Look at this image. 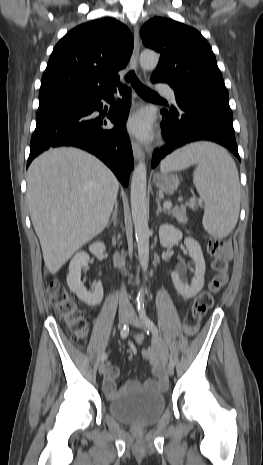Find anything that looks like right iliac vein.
<instances>
[{
    "label": "right iliac vein",
    "mask_w": 263,
    "mask_h": 465,
    "mask_svg": "<svg viewBox=\"0 0 263 465\" xmlns=\"http://www.w3.org/2000/svg\"><path fill=\"white\" fill-rule=\"evenodd\" d=\"M128 315H129V312H128V310H126V309L121 310V311L119 312V315H118V324H119L120 327L123 326V325L127 322V320H128ZM105 369H106V366H105L104 362H102V363L100 364V366H99V374H100V375L104 374Z\"/></svg>",
    "instance_id": "right-iliac-vein-1"
}]
</instances>
